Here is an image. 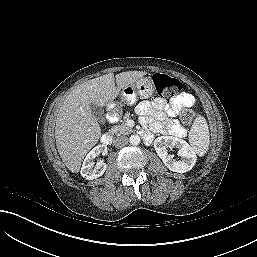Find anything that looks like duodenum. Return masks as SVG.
I'll return each mask as SVG.
<instances>
[{"label": "duodenum", "mask_w": 257, "mask_h": 257, "mask_svg": "<svg viewBox=\"0 0 257 257\" xmlns=\"http://www.w3.org/2000/svg\"><path fill=\"white\" fill-rule=\"evenodd\" d=\"M116 120H117L116 114H111V115L109 116V121H110L111 123L116 122ZM142 134H143V136H145V132H143ZM100 141H101V143H102L103 145H109V144H111V142H112V135L109 134V133H105V134H103V135L101 136Z\"/></svg>", "instance_id": "1"}]
</instances>
